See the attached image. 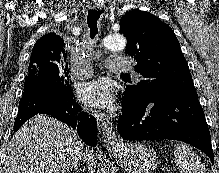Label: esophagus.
<instances>
[{
    "instance_id": "esophagus-1",
    "label": "esophagus",
    "mask_w": 219,
    "mask_h": 173,
    "mask_svg": "<svg viewBox=\"0 0 219 173\" xmlns=\"http://www.w3.org/2000/svg\"><path fill=\"white\" fill-rule=\"evenodd\" d=\"M93 7L97 10L105 9V5L99 3L94 4ZM99 127L102 139L107 146L118 145L121 142V139L116 135L111 122L100 119Z\"/></svg>"
}]
</instances>
